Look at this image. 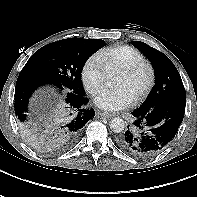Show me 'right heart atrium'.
Masks as SVG:
<instances>
[{
  "mask_svg": "<svg viewBox=\"0 0 197 197\" xmlns=\"http://www.w3.org/2000/svg\"><path fill=\"white\" fill-rule=\"evenodd\" d=\"M107 76L108 72L97 55L91 56L81 69L82 83L92 95L104 86Z\"/></svg>",
  "mask_w": 197,
  "mask_h": 197,
  "instance_id": "d8ad5b80",
  "label": "right heart atrium"
}]
</instances>
